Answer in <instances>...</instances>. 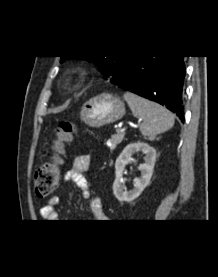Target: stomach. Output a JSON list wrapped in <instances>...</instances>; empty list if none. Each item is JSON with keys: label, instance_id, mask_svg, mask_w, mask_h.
<instances>
[{"label": "stomach", "instance_id": "1", "mask_svg": "<svg viewBox=\"0 0 218 277\" xmlns=\"http://www.w3.org/2000/svg\"><path fill=\"white\" fill-rule=\"evenodd\" d=\"M124 114V102L117 96L103 93L83 104L80 111V119L90 127L99 128L116 122Z\"/></svg>", "mask_w": 218, "mask_h": 277}]
</instances>
